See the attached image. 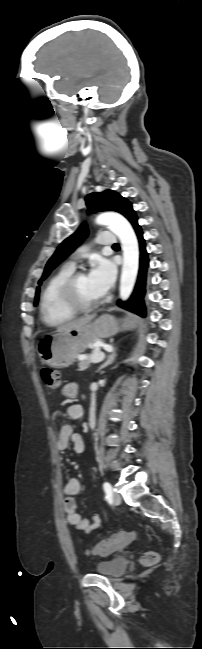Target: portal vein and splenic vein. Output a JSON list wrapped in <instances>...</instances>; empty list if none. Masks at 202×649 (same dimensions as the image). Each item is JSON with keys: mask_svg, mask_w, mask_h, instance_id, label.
Masks as SVG:
<instances>
[{"mask_svg": "<svg viewBox=\"0 0 202 649\" xmlns=\"http://www.w3.org/2000/svg\"><path fill=\"white\" fill-rule=\"evenodd\" d=\"M111 350H112V349H110V351H111ZM104 357H105V354H104V353H94V354L91 356V362H92V363H99V362L103 361ZM85 358H86V357H84V356L79 357V359H81V360H84Z\"/></svg>", "mask_w": 202, "mask_h": 649, "instance_id": "1", "label": "portal vein and splenic vein"}]
</instances>
